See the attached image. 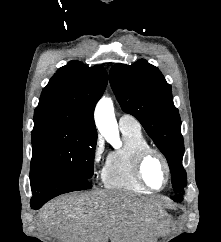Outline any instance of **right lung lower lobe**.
I'll return each mask as SVG.
<instances>
[{
  "label": "right lung lower lobe",
  "instance_id": "1",
  "mask_svg": "<svg viewBox=\"0 0 221 242\" xmlns=\"http://www.w3.org/2000/svg\"><path fill=\"white\" fill-rule=\"evenodd\" d=\"M30 183L33 192L30 205L35 210L60 194L92 187L88 180L66 175H30Z\"/></svg>",
  "mask_w": 221,
  "mask_h": 242
}]
</instances>
